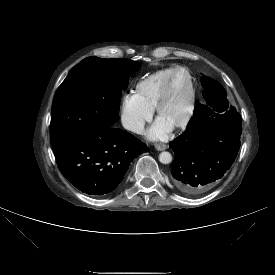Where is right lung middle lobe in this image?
<instances>
[{"label": "right lung middle lobe", "mask_w": 275, "mask_h": 275, "mask_svg": "<svg viewBox=\"0 0 275 275\" xmlns=\"http://www.w3.org/2000/svg\"><path fill=\"white\" fill-rule=\"evenodd\" d=\"M140 65L129 59L91 56L74 66L53 100L52 142L64 135L112 127L118 118L120 90Z\"/></svg>", "instance_id": "right-lung-middle-lobe-1"}]
</instances>
